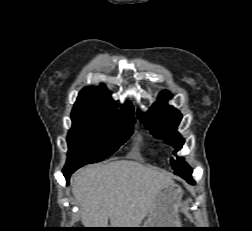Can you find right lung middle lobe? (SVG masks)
<instances>
[{"instance_id": "dd1d6c3e", "label": "right lung middle lobe", "mask_w": 252, "mask_h": 231, "mask_svg": "<svg viewBox=\"0 0 252 231\" xmlns=\"http://www.w3.org/2000/svg\"><path fill=\"white\" fill-rule=\"evenodd\" d=\"M68 155L63 170L80 168L110 156L132 134L134 119L103 113L72 112Z\"/></svg>"}]
</instances>
